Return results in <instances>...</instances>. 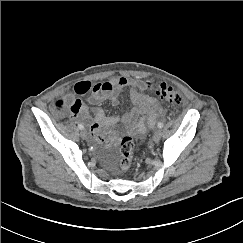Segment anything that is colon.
<instances>
[{
  "instance_id": "5ec220e1",
  "label": "colon",
  "mask_w": 243,
  "mask_h": 243,
  "mask_svg": "<svg viewBox=\"0 0 243 243\" xmlns=\"http://www.w3.org/2000/svg\"><path fill=\"white\" fill-rule=\"evenodd\" d=\"M149 90L173 106H181L183 103L182 95L172 86L166 83L152 84ZM121 159L119 167L121 171L127 172L132 165V153L134 150V142L130 137H123L119 145Z\"/></svg>"
}]
</instances>
